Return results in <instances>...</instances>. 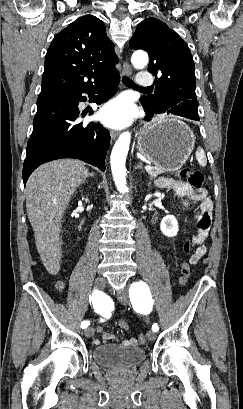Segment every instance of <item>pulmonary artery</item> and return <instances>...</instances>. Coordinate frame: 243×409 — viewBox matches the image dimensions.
Instances as JSON below:
<instances>
[{"mask_svg": "<svg viewBox=\"0 0 243 409\" xmlns=\"http://www.w3.org/2000/svg\"><path fill=\"white\" fill-rule=\"evenodd\" d=\"M136 84L140 87H148L153 84V77L150 73L148 72H140Z\"/></svg>", "mask_w": 243, "mask_h": 409, "instance_id": "1", "label": "pulmonary artery"}]
</instances>
